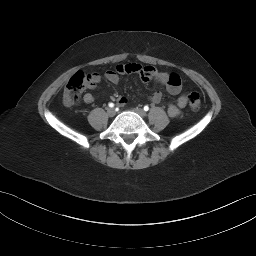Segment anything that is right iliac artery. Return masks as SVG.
I'll return each instance as SVG.
<instances>
[{"mask_svg":"<svg viewBox=\"0 0 256 256\" xmlns=\"http://www.w3.org/2000/svg\"><path fill=\"white\" fill-rule=\"evenodd\" d=\"M108 106H109L110 108H113V107H114V104H113V103H109Z\"/></svg>","mask_w":256,"mask_h":256,"instance_id":"right-iliac-artery-1","label":"right iliac artery"}]
</instances>
